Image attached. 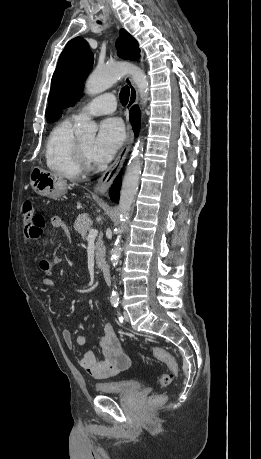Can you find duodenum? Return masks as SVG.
<instances>
[{"label":"duodenum","instance_id":"obj_1","mask_svg":"<svg viewBox=\"0 0 261 459\" xmlns=\"http://www.w3.org/2000/svg\"><path fill=\"white\" fill-rule=\"evenodd\" d=\"M102 273H103V276L105 278V280L107 282H110L111 281V276H110V270H109V267L108 265L104 264V263H100L99 265Z\"/></svg>","mask_w":261,"mask_h":459}]
</instances>
